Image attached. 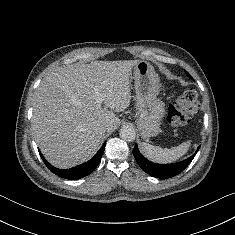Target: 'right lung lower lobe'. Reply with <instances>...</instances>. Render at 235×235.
Listing matches in <instances>:
<instances>
[{
    "mask_svg": "<svg viewBox=\"0 0 235 235\" xmlns=\"http://www.w3.org/2000/svg\"><path fill=\"white\" fill-rule=\"evenodd\" d=\"M106 142L102 145L100 150L95 154V156L90 159L89 161L78 165L76 167L70 168V169H58L49 164L43 155L40 153V156L42 160L44 161L45 165L52 171L54 174L65 178V179H70V180H75V179H80L82 177H85L89 175L98 165V163L101 160V157L103 155L104 149H105Z\"/></svg>",
    "mask_w": 235,
    "mask_h": 235,
    "instance_id": "1",
    "label": "right lung lower lobe"
}]
</instances>
